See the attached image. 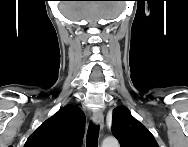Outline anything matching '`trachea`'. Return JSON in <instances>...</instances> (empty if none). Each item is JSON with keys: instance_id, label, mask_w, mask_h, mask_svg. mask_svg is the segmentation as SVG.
<instances>
[{"instance_id": "obj_1", "label": "trachea", "mask_w": 188, "mask_h": 147, "mask_svg": "<svg viewBox=\"0 0 188 147\" xmlns=\"http://www.w3.org/2000/svg\"><path fill=\"white\" fill-rule=\"evenodd\" d=\"M98 136L99 126L90 123L87 131L86 147H98Z\"/></svg>"}]
</instances>
